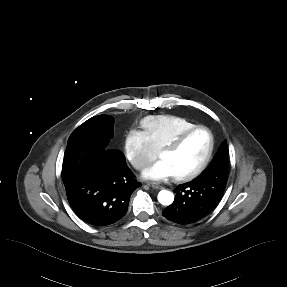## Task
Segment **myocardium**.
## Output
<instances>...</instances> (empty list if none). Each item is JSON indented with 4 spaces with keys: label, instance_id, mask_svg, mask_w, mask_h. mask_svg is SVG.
Returning <instances> with one entry per match:
<instances>
[{
    "label": "myocardium",
    "instance_id": "obj_1",
    "mask_svg": "<svg viewBox=\"0 0 287 287\" xmlns=\"http://www.w3.org/2000/svg\"><path fill=\"white\" fill-rule=\"evenodd\" d=\"M199 130L206 131L208 136H209V148H208L207 154L198 167H196L194 170H192L191 172H189L187 174L175 176L174 177L175 181L184 182V181L193 180V179L197 178L200 174H202L204 172V170L208 167V165L212 159L214 149H215V138H214L213 132L207 126L196 125V126L190 128L188 130H185L180 135H178L176 138L171 140L169 143H167L165 146H163L159 152V157H160V155L164 152L176 151L177 149H179L183 145V143L193 133H195Z\"/></svg>",
    "mask_w": 287,
    "mask_h": 287
}]
</instances>
